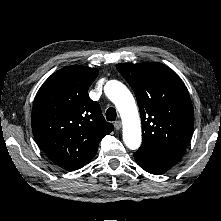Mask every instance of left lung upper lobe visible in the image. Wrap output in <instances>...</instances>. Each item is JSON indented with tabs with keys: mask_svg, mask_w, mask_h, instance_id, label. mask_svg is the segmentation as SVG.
Here are the masks:
<instances>
[{
	"mask_svg": "<svg viewBox=\"0 0 221 221\" xmlns=\"http://www.w3.org/2000/svg\"><path fill=\"white\" fill-rule=\"evenodd\" d=\"M116 68L137 98L142 120L141 148L181 159L194 126L193 106L183 81L158 62L120 63Z\"/></svg>",
	"mask_w": 221,
	"mask_h": 221,
	"instance_id": "1",
	"label": "left lung upper lobe"
}]
</instances>
